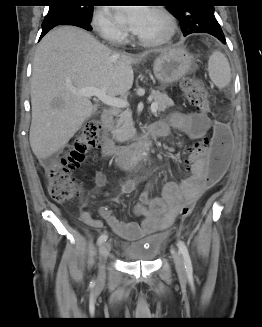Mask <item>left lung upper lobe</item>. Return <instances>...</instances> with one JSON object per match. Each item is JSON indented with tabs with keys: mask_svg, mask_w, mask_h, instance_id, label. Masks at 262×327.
I'll return each mask as SVG.
<instances>
[{
	"mask_svg": "<svg viewBox=\"0 0 262 327\" xmlns=\"http://www.w3.org/2000/svg\"><path fill=\"white\" fill-rule=\"evenodd\" d=\"M197 2L201 4H192V0H169L167 10L179 20L184 36L197 32L223 36L214 16V6L207 0Z\"/></svg>",
	"mask_w": 262,
	"mask_h": 327,
	"instance_id": "left-lung-upper-lobe-1",
	"label": "left lung upper lobe"
}]
</instances>
